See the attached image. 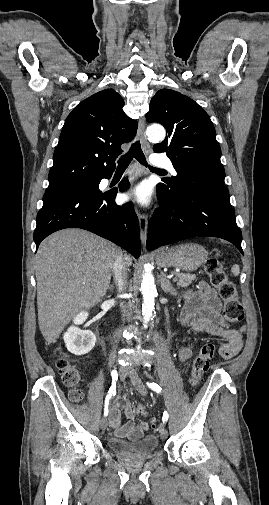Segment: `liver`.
Instances as JSON below:
<instances>
[{
    "label": "liver",
    "instance_id": "6515ba94",
    "mask_svg": "<svg viewBox=\"0 0 269 505\" xmlns=\"http://www.w3.org/2000/svg\"><path fill=\"white\" fill-rule=\"evenodd\" d=\"M113 243L81 229L53 233L35 256L38 323L48 344L80 311L102 301L116 257ZM132 264L129 255L124 256Z\"/></svg>",
    "mask_w": 269,
    "mask_h": 505
}]
</instances>
